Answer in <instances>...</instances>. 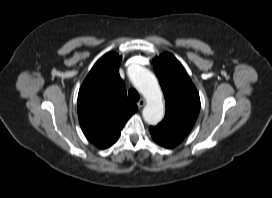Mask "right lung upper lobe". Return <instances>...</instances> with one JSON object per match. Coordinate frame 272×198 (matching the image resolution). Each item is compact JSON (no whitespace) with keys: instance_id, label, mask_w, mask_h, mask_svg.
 <instances>
[{"instance_id":"1","label":"right lung upper lobe","mask_w":272,"mask_h":198,"mask_svg":"<svg viewBox=\"0 0 272 198\" xmlns=\"http://www.w3.org/2000/svg\"><path fill=\"white\" fill-rule=\"evenodd\" d=\"M121 57L109 52L85 78L78 94V117L83 133L101 149L114 144L127 120L137 111L127 99L119 75Z\"/></svg>"}]
</instances>
